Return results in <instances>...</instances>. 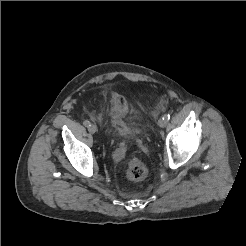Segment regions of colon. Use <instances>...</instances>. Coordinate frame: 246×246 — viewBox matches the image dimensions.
<instances>
[{"label":"colon","mask_w":246,"mask_h":246,"mask_svg":"<svg viewBox=\"0 0 246 246\" xmlns=\"http://www.w3.org/2000/svg\"><path fill=\"white\" fill-rule=\"evenodd\" d=\"M147 176L145 164L137 158L132 159L127 168V177L132 181H141Z\"/></svg>","instance_id":"1"}]
</instances>
